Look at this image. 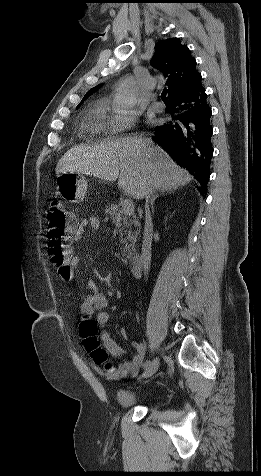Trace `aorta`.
I'll list each match as a JSON object with an SVG mask.
<instances>
[{
	"instance_id": "762f6f07",
	"label": "aorta",
	"mask_w": 261,
	"mask_h": 476,
	"mask_svg": "<svg viewBox=\"0 0 261 476\" xmlns=\"http://www.w3.org/2000/svg\"><path fill=\"white\" fill-rule=\"evenodd\" d=\"M136 99V89L131 83H123L117 92L114 103L120 110H130Z\"/></svg>"
}]
</instances>
